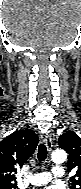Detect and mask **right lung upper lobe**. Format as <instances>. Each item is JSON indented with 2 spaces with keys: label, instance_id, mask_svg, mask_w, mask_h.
<instances>
[{
  "label": "right lung upper lobe",
  "instance_id": "cb5924a9",
  "mask_svg": "<svg viewBox=\"0 0 81 189\" xmlns=\"http://www.w3.org/2000/svg\"><path fill=\"white\" fill-rule=\"evenodd\" d=\"M38 137L31 129L19 130L0 142V187L16 185L17 169L33 154Z\"/></svg>",
  "mask_w": 81,
  "mask_h": 189
}]
</instances>
